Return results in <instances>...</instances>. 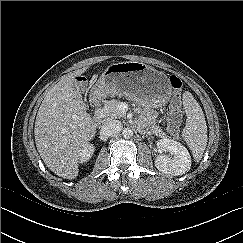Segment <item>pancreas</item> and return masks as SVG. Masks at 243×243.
Here are the masks:
<instances>
[{
    "instance_id": "pancreas-1",
    "label": "pancreas",
    "mask_w": 243,
    "mask_h": 243,
    "mask_svg": "<svg viewBox=\"0 0 243 243\" xmlns=\"http://www.w3.org/2000/svg\"><path fill=\"white\" fill-rule=\"evenodd\" d=\"M121 101L112 99L110 101H107L103 107V114L105 117L109 119H116L125 117L126 113L120 108ZM151 132L155 135L165 136V134L161 131V129L158 126H153L151 128Z\"/></svg>"
}]
</instances>
